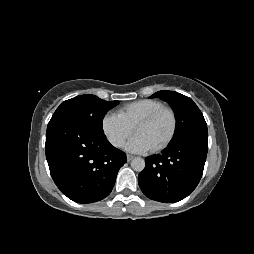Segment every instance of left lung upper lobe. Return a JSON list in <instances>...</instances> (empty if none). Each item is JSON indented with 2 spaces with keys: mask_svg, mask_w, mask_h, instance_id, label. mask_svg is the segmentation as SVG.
<instances>
[{
  "mask_svg": "<svg viewBox=\"0 0 254 254\" xmlns=\"http://www.w3.org/2000/svg\"><path fill=\"white\" fill-rule=\"evenodd\" d=\"M151 97H158L166 101L175 112L177 127L172 143L193 136L208 137L207 124L203 114L191 98L174 91L165 90L158 91Z\"/></svg>",
  "mask_w": 254,
  "mask_h": 254,
  "instance_id": "left-lung-upper-lobe-1",
  "label": "left lung upper lobe"
}]
</instances>
